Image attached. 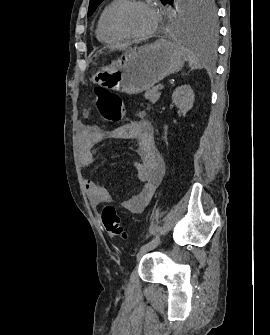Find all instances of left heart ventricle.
<instances>
[{
    "instance_id": "obj_1",
    "label": "left heart ventricle",
    "mask_w": 270,
    "mask_h": 335,
    "mask_svg": "<svg viewBox=\"0 0 270 335\" xmlns=\"http://www.w3.org/2000/svg\"><path fill=\"white\" fill-rule=\"evenodd\" d=\"M122 22L126 30L137 35L149 32L155 25L153 14L146 8L136 6L125 12Z\"/></svg>"
}]
</instances>
